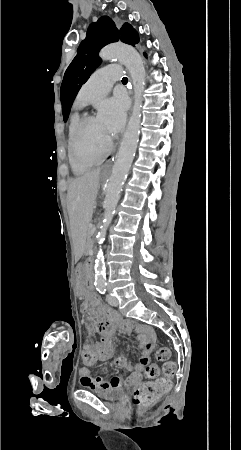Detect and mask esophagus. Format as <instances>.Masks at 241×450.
<instances>
[{
    "label": "esophagus",
    "mask_w": 241,
    "mask_h": 450,
    "mask_svg": "<svg viewBox=\"0 0 241 450\" xmlns=\"http://www.w3.org/2000/svg\"><path fill=\"white\" fill-rule=\"evenodd\" d=\"M112 164V160H109L106 164H105V168L109 167Z\"/></svg>",
    "instance_id": "34e87169"
}]
</instances>
